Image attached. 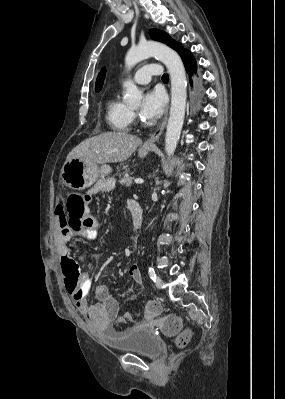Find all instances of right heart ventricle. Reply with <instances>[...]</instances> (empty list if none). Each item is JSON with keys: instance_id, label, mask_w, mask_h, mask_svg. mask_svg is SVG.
<instances>
[{"instance_id": "1", "label": "right heart ventricle", "mask_w": 285, "mask_h": 399, "mask_svg": "<svg viewBox=\"0 0 285 399\" xmlns=\"http://www.w3.org/2000/svg\"><path fill=\"white\" fill-rule=\"evenodd\" d=\"M132 118L131 109L119 100L116 95L108 98L106 102V120L113 130L118 132L128 131Z\"/></svg>"}]
</instances>
